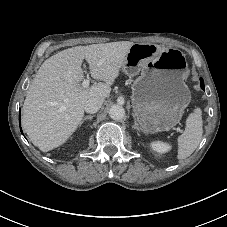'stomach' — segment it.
Instances as JSON below:
<instances>
[{"instance_id": "stomach-1", "label": "stomach", "mask_w": 227, "mask_h": 227, "mask_svg": "<svg viewBox=\"0 0 227 227\" xmlns=\"http://www.w3.org/2000/svg\"><path fill=\"white\" fill-rule=\"evenodd\" d=\"M122 70L128 76L140 74L132 86V104L137 125L144 133L167 131L180 122L191 100L184 82L188 66L181 51L135 43Z\"/></svg>"}]
</instances>
